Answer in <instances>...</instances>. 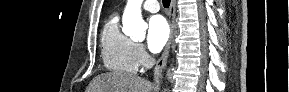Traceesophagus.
<instances>
[{
	"label": "esophagus",
	"instance_id": "esophagus-1",
	"mask_svg": "<svg viewBox=\"0 0 289 92\" xmlns=\"http://www.w3.org/2000/svg\"><path fill=\"white\" fill-rule=\"evenodd\" d=\"M175 10H176V0H171L170 8H169V25H170V36L168 42L165 46V49L158 60L155 68H154V84L158 87L160 83V77L162 70L167 62L170 46L172 44L175 32Z\"/></svg>",
	"mask_w": 289,
	"mask_h": 92
}]
</instances>
